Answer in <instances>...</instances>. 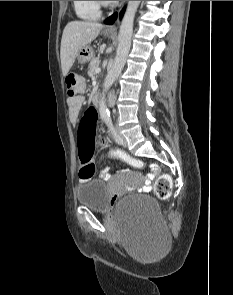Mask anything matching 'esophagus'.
I'll list each match as a JSON object with an SVG mask.
<instances>
[{
    "instance_id": "34e87169",
    "label": "esophagus",
    "mask_w": 233,
    "mask_h": 295,
    "mask_svg": "<svg viewBox=\"0 0 233 295\" xmlns=\"http://www.w3.org/2000/svg\"><path fill=\"white\" fill-rule=\"evenodd\" d=\"M117 23H118V20L116 21L115 24L107 25V26L105 27V31H107V32H116V29H117Z\"/></svg>"
}]
</instances>
